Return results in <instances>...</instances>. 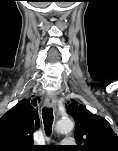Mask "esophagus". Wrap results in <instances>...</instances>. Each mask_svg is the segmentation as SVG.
Wrapping results in <instances>:
<instances>
[{
	"label": "esophagus",
	"mask_w": 118,
	"mask_h": 151,
	"mask_svg": "<svg viewBox=\"0 0 118 151\" xmlns=\"http://www.w3.org/2000/svg\"><path fill=\"white\" fill-rule=\"evenodd\" d=\"M56 102L57 99L53 94H49L46 98H45V105L48 108H54L56 106Z\"/></svg>",
	"instance_id": "1"
}]
</instances>
